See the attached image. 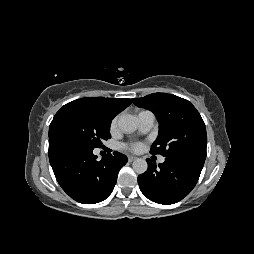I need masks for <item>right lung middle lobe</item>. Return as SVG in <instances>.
<instances>
[{
	"label": "right lung middle lobe",
	"instance_id": "1",
	"mask_svg": "<svg viewBox=\"0 0 254 254\" xmlns=\"http://www.w3.org/2000/svg\"><path fill=\"white\" fill-rule=\"evenodd\" d=\"M112 119L99 105L72 101L55 114L49 127V140L63 139L98 148L111 137Z\"/></svg>",
	"mask_w": 254,
	"mask_h": 254
}]
</instances>
